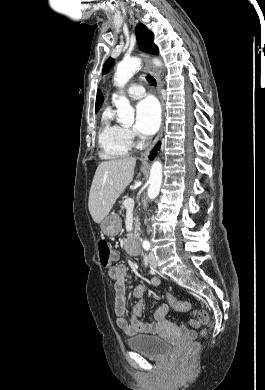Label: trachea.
<instances>
[{"mask_svg": "<svg viewBox=\"0 0 265 390\" xmlns=\"http://www.w3.org/2000/svg\"><path fill=\"white\" fill-rule=\"evenodd\" d=\"M147 81L152 85V86H156V80L153 76H151L150 74L147 75L146 77Z\"/></svg>", "mask_w": 265, "mask_h": 390, "instance_id": "1", "label": "trachea"}]
</instances>
